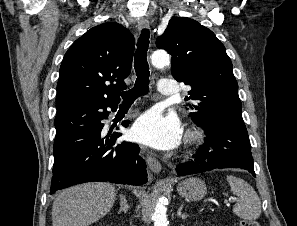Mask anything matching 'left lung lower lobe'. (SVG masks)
I'll return each mask as SVG.
<instances>
[{"mask_svg":"<svg viewBox=\"0 0 297 226\" xmlns=\"http://www.w3.org/2000/svg\"><path fill=\"white\" fill-rule=\"evenodd\" d=\"M201 128L207 136L206 142L194 155V161L176 167L178 175L222 168H241L255 176L250 140L244 124L218 120Z\"/></svg>","mask_w":297,"mask_h":226,"instance_id":"0a47b994","label":"left lung lower lobe"}]
</instances>
